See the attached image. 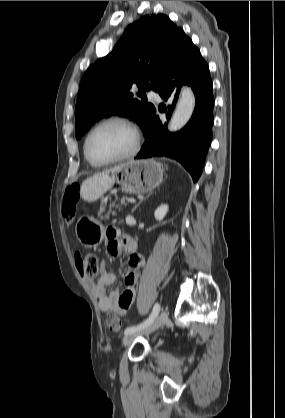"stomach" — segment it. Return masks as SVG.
Returning <instances> with one entry per match:
<instances>
[{"mask_svg":"<svg viewBox=\"0 0 285 418\" xmlns=\"http://www.w3.org/2000/svg\"><path fill=\"white\" fill-rule=\"evenodd\" d=\"M121 190L130 194L149 192L163 181V168L153 159L130 160L113 173ZM81 243H99L104 238V226L93 218H82L75 228Z\"/></svg>","mask_w":285,"mask_h":418,"instance_id":"1","label":"stomach"}]
</instances>
